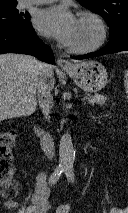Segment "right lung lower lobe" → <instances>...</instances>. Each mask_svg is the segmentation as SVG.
<instances>
[{
    "mask_svg": "<svg viewBox=\"0 0 128 213\" xmlns=\"http://www.w3.org/2000/svg\"><path fill=\"white\" fill-rule=\"evenodd\" d=\"M3 53L34 55L49 63L55 60L51 48L37 37L31 23L12 28L0 27V54Z\"/></svg>",
    "mask_w": 128,
    "mask_h": 213,
    "instance_id": "98d812e1",
    "label": "right lung lower lobe"
}]
</instances>
